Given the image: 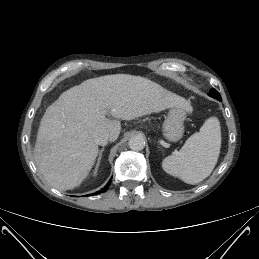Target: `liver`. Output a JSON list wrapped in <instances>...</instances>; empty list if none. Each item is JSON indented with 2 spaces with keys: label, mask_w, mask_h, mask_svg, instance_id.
<instances>
[{
  "label": "liver",
  "mask_w": 259,
  "mask_h": 259,
  "mask_svg": "<svg viewBox=\"0 0 259 259\" xmlns=\"http://www.w3.org/2000/svg\"><path fill=\"white\" fill-rule=\"evenodd\" d=\"M173 107L192 109L185 98L141 76L115 74L85 80L46 109L34 147L37 168L54 188L72 190L95 163L99 148L94 139L99 133L107 132L115 141L121 130L119 119L133 120Z\"/></svg>",
  "instance_id": "6515ba94"
}]
</instances>
